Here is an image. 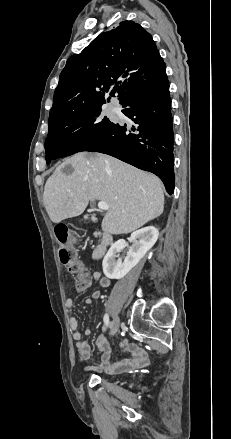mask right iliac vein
<instances>
[{
    "mask_svg": "<svg viewBox=\"0 0 231 439\" xmlns=\"http://www.w3.org/2000/svg\"><path fill=\"white\" fill-rule=\"evenodd\" d=\"M119 325H120V319L119 317L116 315L114 316L111 324H110V334L113 336L117 333L118 329H119Z\"/></svg>",
    "mask_w": 231,
    "mask_h": 439,
    "instance_id": "63e3f726",
    "label": "right iliac vein"
}]
</instances>
